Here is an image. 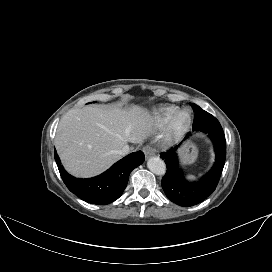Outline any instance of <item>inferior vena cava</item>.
<instances>
[{
  "label": "inferior vena cava",
  "instance_id": "obj_1",
  "mask_svg": "<svg viewBox=\"0 0 272 272\" xmlns=\"http://www.w3.org/2000/svg\"><path fill=\"white\" fill-rule=\"evenodd\" d=\"M131 151V148L128 145H125L120 151L119 154L124 156L127 155Z\"/></svg>",
  "mask_w": 272,
  "mask_h": 272
}]
</instances>
